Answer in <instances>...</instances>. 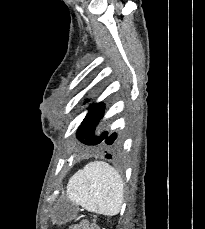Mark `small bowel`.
I'll list each match as a JSON object with an SVG mask.
<instances>
[{"mask_svg": "<svg viewBox=\"0 0 205 229\" xmlns=\"http://www.w3.org/2000/svg\"><path fill=\"white\" fill-rule=\"evenodd\" d=\"M72 229H97V228L87 222H82L78 225H75Z\"/></svg>", "mask_w": 205, "mask_h": 229, "instance_id": "obj_1", "label": "small bowel"}]
</instances>
